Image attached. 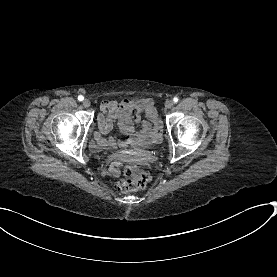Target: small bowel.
Instances as JSON below:
<instances>
[{
	"label": "small bowel",
	"mask_w": 277,
	"mask_h": 277,
	"mask_svg": "<svg viewBox=\"0 0 277 277\" xmlns=\"http://www.w3.org/2000/svg\"><path fill=\"white\" fill-rule=\"evenodd\" d=\"M102 109L106 116H98L99 130L95 134L97 144L101 147L112 149L119 147L118 140L103 137L114 124L120 128L122 133L138 139L156 141L160 136L162 123L151 98L124 100L121 103L105 101Z\"/></svg>",
	"instance_id": "obj_1"
}]
</instances>
